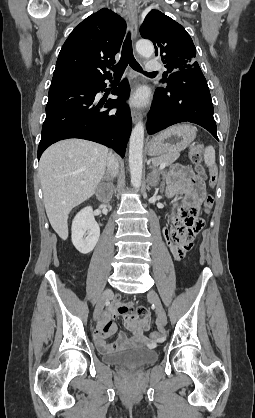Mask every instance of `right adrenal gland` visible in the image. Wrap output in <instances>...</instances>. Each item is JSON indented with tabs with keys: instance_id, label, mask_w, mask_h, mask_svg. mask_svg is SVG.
I'll return each instance as SVG.
<instances>
[{
	"instance_id": "obj_1",
	"label": "right adrenal gland",
	"mask_w": 255,
	"mask_h": 418,
	"mask_svg": "<svg viewBox=\"0 0 255 418\" xmlns=\"http://www.w3.org/2000/svg\"><path fill=\"white\" fill-rule=\"evenodd\" d=\"M104 179H106L108 182H110L112 184V177L109 175V173L107 172L104 176Z\"/></svg>"
}]
</instances>
